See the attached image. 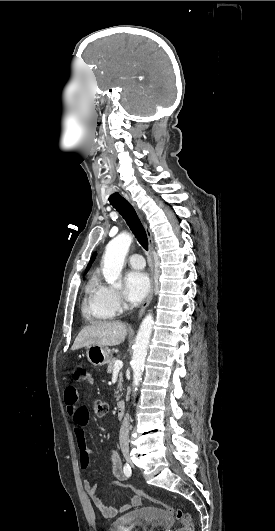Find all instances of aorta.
<instances>
[{
    "instance_id": "1",
    "label": "aorta",
    "mask_w": 275,
    "mask_h": 531,
    "mask_svg": "<svg viewBox=\"0 0 275 531\" xmlns=\"http://www.w3.org/2000/svg\"><path fill=\"white\" fill-rule=\"evenodd\" d=\"M132 241L133 239L129 233H120L115 239L109 241L106 247V251L102 257V273L107 283H110L113 287H116L117 285L116 281H118L121 275L125 257L130 249ZM152 329L153 317L152 315H146L139 327L132 357L134 393L138 391V387L142 381Z\"/></svg>"
}]
</instances>
